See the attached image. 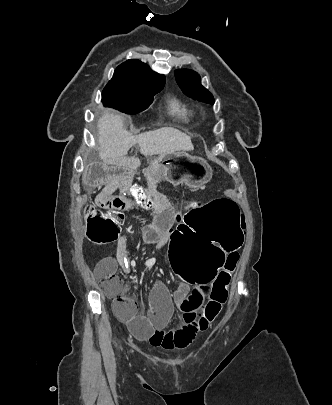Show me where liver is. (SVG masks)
I'll return each instance as SVG.
<instances>
[{
  "label": "liver",
  "mask_w": 332,
  "mask_h": 405,
  "mask_svg": "<svg viewBox=\"0 0 332 405\" xmlns=\"http://www.w3.org/2000/svg\"><path fill=\"white\" fill-rule=\"evenodd\" d=\"M97 127L99 156L106 164L126 162L125 156L135 144L139 145L140 153L145 156L194 149L191 138L173 127H163L134 136L124 128V114L111 109L104 110Z\"/></svg>",
  "instance_id": "liver-1"
}]
</instances>
